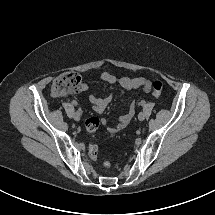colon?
I'll return each instance as SVG.
<instances>
[{
    "instance_id": "obj_1",
    "label": "colon",
    "mask_w": 215,
    "mask_h": 215,
    "mask_svg": "<svg viewBox=\"0 0 215 215\" xmlns=\"http://www.w3.org/2000/svg\"><path fill=\"white\" fill-rule=\"evenodd\" d=\"M82 90V79L79 73L75 71H67L59 74L52 85V92L54 95L61 96L65 94H73ZM163 91V84L161 81H154L149 86V92L153 97H159ZM100 120L97 117L89 118L85 127L88 133H93L99 127ZM88 155L95 163H99L104 168H109L111 163L109 160L98 157V147L95 144H90L88 148Z\"/></svg>"
}]
</instances>
